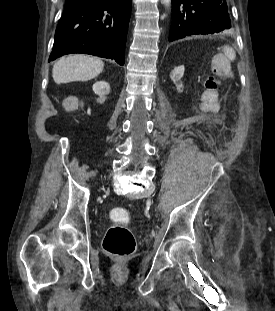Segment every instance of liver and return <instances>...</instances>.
I'll use <instances>...</instances> for the list:
<instances>
[{"instance_id": "1", "label": "liver", "mask_w": 275, "mask_h": 311, "mask_svg": "<svg viewBox=\"0 0 275 311\" xmlns=\"http://www.w3.org/2000/svg\"><path fill=\"white\" fill-rule=\"evenodd\" d=\"M104 68L101 59L87 55H71L58 60L52 70L55 83L87 81L98 76Z\"/></svg>"}]
</instances>
